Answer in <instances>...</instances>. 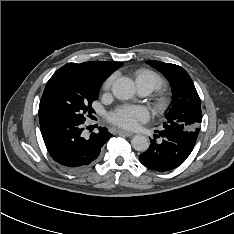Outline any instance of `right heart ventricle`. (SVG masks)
<instances>
[{
  "instance_id": "right-heart-ventricle-1",
  "label": "right heart ventricle",
  "mask_w": 234,
  "mask_h": 234,
  "mask_svg": "<svg viewBox=\"0 0 234 234\" xmlns=\"http://www.w3.org/2000/svg\"><path fill=\"white\" fill-rule=\"evenodd\" d=\"M136 82L150 86L152 91L161 88L164 85L162 77L154 71L141 69L136 73Z\"/></svg>"
}]
</instances>
